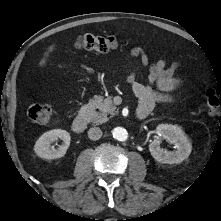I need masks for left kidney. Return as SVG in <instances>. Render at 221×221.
<instances>
[{"label": "left kidney", "mask_w": 221, "mask_h": 221, "mask_svg": "<svg viewBox=\"0 0 221 221\" xmlns=\"http://www.w3.org/2000/svg\"><path fill=\"white\" fill-rule=\"evenodd\" d=\"M156 133L154 140L149 144V151L156 161L164 164H178L189 157L192 145L181 127L160 124L156 128ZM162 139L174 144L175 150L168 151L161 148Z\"/></svg>", "instance_id": "1"}]
</instances>
